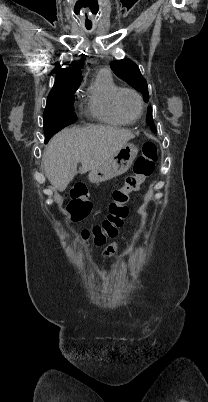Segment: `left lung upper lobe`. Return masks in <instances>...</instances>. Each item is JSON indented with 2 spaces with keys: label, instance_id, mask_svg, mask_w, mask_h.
<instances>
[{
  "label": "left lung upper lobe",
  "instance_id": "5c2ea615",
  "mask_svg": "<svg viewBox=\"0 0 208 402\" xmlns=\"http://www.w3.org/2000/svg\"><path fill=\"white\" fill-rule=\"evenodd\" d=\"M110 65L113 72L118 77H120L121 79L126 81L129 85L140 91L143 94L144 99L146 101L149 100L148 85L146 83V80L141 75L138 66L133 61H131L130 59H122L112 61ZM148 122L151 130L153 132H156V128L152 118V109L149 110Z\"/></svg>",
  "mask_w": 208,
  "mask_h": 402
}]
</instances>
